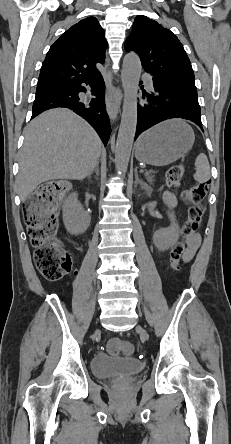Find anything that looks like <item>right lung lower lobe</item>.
<instances>
[{
    "instance_id": "98d812e1",
    "label": "right lung lower lobe",
    "mask_w": 231,
    "mask_h": 444,
    "mask_svg": "<svg viewBox=\"0 0 231 444\" xmlns=\"http://www.w3.org/2000/svg\"><path fill=\"white\" fill-rule=\"evenodd\" d=\"M89 85L95 98L80 99L79 92H85L82 84ZM104 81L102 76L83 81L70 82L47 89L37 90L33 104L32 118L41 112L56 107H66L84 119L97 131L106 145L111 133L110 121L104 103Z\"/></svg>"
}]
</instances>
